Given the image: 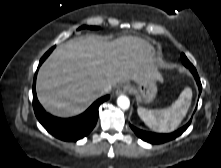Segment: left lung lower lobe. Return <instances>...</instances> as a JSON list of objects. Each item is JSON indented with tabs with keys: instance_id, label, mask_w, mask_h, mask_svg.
Returning a JSON list of instances; mask_svg holds the SVG:
<instances>
[{
	"instance_id": "left-lung-lower-lobe-1",
	"label": "left lung lower lobe",
	"mask_w": 221,
	"mask_h": 168,
	"mask_svg": "<svg viewBox=\"0 0 221 168\" xmlns=\"http://www.w3.org/2000/svg\"><path fill=\"white\" fill-rule=\"evenodd\" d=\"M191 72L194 75V78H195L197 85L199 87V95H200V93L202 91V85H201L199 76L197 74L196 69L191 70ZM190 123H191V120L182 128H180L172 133H168V134L147 132V131L140 130L132 125H130V127L134 131V133L142 140H144L148 143H151V144H162V143L168 142V141L173 140V139L177 138L178 136H180L188 128Z\"/></svg>"
}]
</instances>
